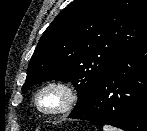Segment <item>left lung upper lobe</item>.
Instances as JSON below:
<instances>
[{"mask_svg":"<svg viewBox=\"0 0 147 131\" xmlns=\"http://www.w3.org/2000/svg\"><path fill=\"white\" fill-rule=\"evenodd\" d=\"M145 39L147 0H74L43 33L22 91L46 80L70 81L79 97L73 115L115 60Z\"/></svg>","mask_w":147,"mask_h":131,"instance_id":"5c2ea615","label":"left lung upper lobe"}]
</instances>
